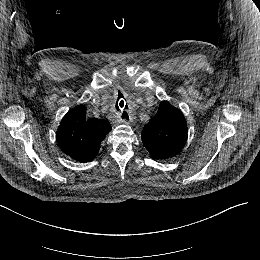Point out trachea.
Masks as SVG:
<instances>
[{
	"instance_id": "1",
	"label": "trachea",
	"mask_w": 260,
	"mask_h": 260,
	"mask_svg": "<svg viewBox=\"0 0 260 260\" xmlns=\"http://www.w3.org/2000/svg\"><path fill=\"white\" fill-rule=\"evenodd\" d=\"M121 119H128V114L126 112H123Z\"/></svg>"
}]
</instances>
